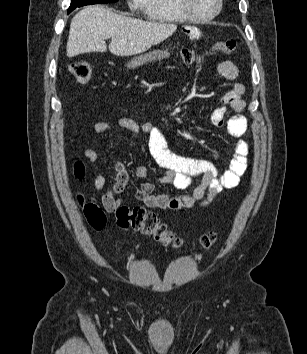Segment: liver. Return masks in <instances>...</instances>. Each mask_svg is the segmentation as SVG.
I'll return each instance as SVG.
<instances>
[{"instance_id":"liver-1","label":"liver","mask_w":307,"mask_h":354,"mask_svg":"<svg viewBox=\"0 0 307 354\" xmlns=\"http://www.w3.org/2000/svg\"><path fill=\"white\" fill-rule=\"evenodd\" d=\"M176 30L175 24L142 21L115 14L103 6H86L71 20L67 55L106 52L105 40L109 38L112 54L136 55L163 42Z\"/></svg>"}]
</instances>
